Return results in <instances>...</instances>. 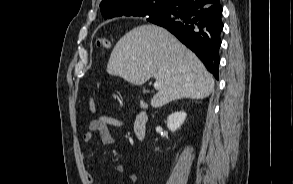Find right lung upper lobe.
I'll return each instance as SVG.
<instances>
[{"instance_id":"1","label":"right lung upper lobe","mask_w":293,"mask_h":184,"mask_svg":"<svg viewBox=\"0 0 293 184\" xmlns=\"http://www.w3.org/2000/svg\"><path fill=\"white\" fill-rule=\"evenodd\" d=\"M172 0H102L100 4L101 13L104 18L118 16H141L144 10L157 9L164 12ZM204 6L210 5L216 0H202ZM152 20V19H148Z\"/></svg>"}]
</instances>
